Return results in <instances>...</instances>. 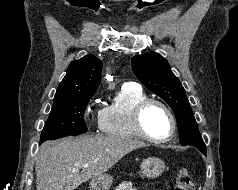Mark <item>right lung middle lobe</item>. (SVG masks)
Instances as JSON below:
<instances>
[{"label":"right lung middle lobe","mask_w":238,"mask_h":190,"mask_svg":"<svg viewBox=\"0 0 238 190\" xmlns=\"http://www.w3.org/2000/svg\"><path fill=\"white\" fill-rule=\"evenodd\" d=\"M92 96L93 94H80L69 99L54 101L50 116L42 130L40 143L86 131L83 116Z\"/></svg>","instance_id":"dd1d6c3e"}]
</instances>
